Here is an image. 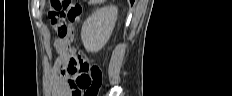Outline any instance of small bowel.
<instances>
[{"label": "small bowel", "instance_id": "small-bowel-1", "mask_svg": "<svg viewBox=\"0 0 232 96\" xmlns=\"http://www.w3.org/2000/svg\"><path fill=\"white\" fill-rule=\"evenodd\" d=\"M69 30L70 32H77L78 25H69ZM68 45V41H60L56 43L59 58L52 74L50 92L53 96H75L74 79L76 75L66 72L68 63L66 49Z\"/></svg>", "mask_w": 232, "mask_h": 96}]
</instances>
